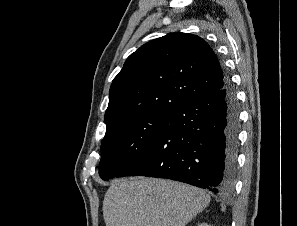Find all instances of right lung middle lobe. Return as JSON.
I'll return each instance as SVG.
<instances>
[{
  "mask_svg": "<svg viewBox=\"0 0 297 226\" xmlns=\"http://www.w3.org/2000/svg\"><path fill=\"white\" fill-rule=\"evenodd\" d=\"M172 116L173 111L146 112L107 126L101 141L100 177L108 180L129 166L169 124Z\"/></svg>",
  "mask_w": 297,
  "mask_h": 226,
  "instance_id": "1",
  "label": "right lung middle lobe"
}]
</instances>
